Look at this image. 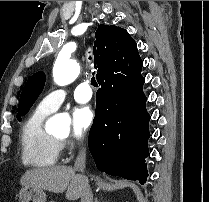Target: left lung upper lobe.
Returning <instances> with one entry per match:
<instances>
[{
    "label": "left lung upper lobe",
    "instance_id": "left-lung-upper-lobe-1",
    "mask_svg": "<svg viewBox=\"0 0 209 202\" xmlns=\"http://www.w3.org/2000/svg\"><path fill=\"white\" fill-rule=\"evenodd\" d=\"M46 76L44 72L33 74L26 82L18 105L17 119L20 121L29 109L32 107L38 96L41 94L45 85Z\"/></svg>",
    "mask_w": 209,
    "mask_h": 202
}]
</instances>
